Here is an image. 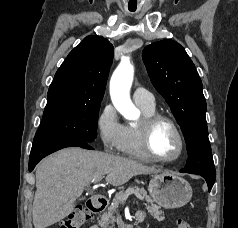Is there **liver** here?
I'll return each instance as SVG.
<instances>
[{
	"label": "liver",
	"mask_w": 238,
	"mask_h": 228,
	"mask_svg": "<svg viewBox=\"0 0 238 228\" xmlns=\"http://www.w3.org/2000/svg\"><path fill=\"white\" fill-rule=\"evenodd\" d=\"M132 159L87 151L77 147L63 149L36 167V191L32 217L35 228H46L67 217L77 198L90 182L106 175V182L120 186L137 175L158 173Z\"/></svg>",
	"instance_id": "liver-1"
}]
</instances>
